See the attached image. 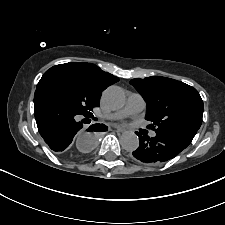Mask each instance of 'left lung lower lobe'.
Returning <instances> with one entry per match:
<instances>
[{
    "label": "left lung lower lobe",
    "instance_id": "1",
    "mask_svg": "<svg viewBox=\"0 0 225 225\" xmlns=\"http://www.w3.org/2000/svg\"><path fill=\"white\" fill-rule=\"evenodd\" d=\"M197 131L193 128H183L156 133L152 138L136 132L140 145L133 151V159L147 165L166 162L183 151L191 143Z\"/></svg>",
    "mask_w": 225,
    "mask_h": 225
}]
</instances>
